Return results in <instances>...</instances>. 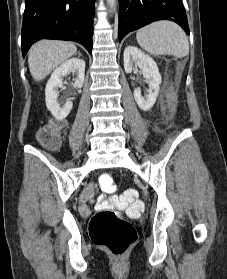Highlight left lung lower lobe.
<instances>
[{
	"mask_svg": "<svg viewBox=\"0 0 227 279\" xmlns=\"http://www.w3.org/2000/svg\"><path fill=\"white\" fill-rule=\"evenodd\" d=\"M158 20H171L189 35L188 21L182 0H119L118 37Z\"/></svg>",
	"mask_w": 227,
	"mask_h": 279,
	"instance_id": "0a47b994",
	"label": "left lung lower lobe"
}]
</instances>
